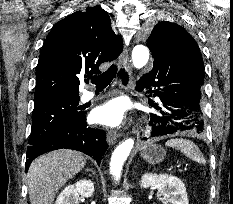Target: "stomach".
Instances as JSON below:
<instances>
[{"instance_id":"obj_1","label":"stomach","mask_w":233,"mask_h":204,"mask_svg":"<svg viewBox=\"0 0 233 204\" xmlns=\"http://www.w3.org/2000/svg\"><path fill=\"white\" fill-rule=\"evenodd\" d=\"M140 155L149 164L154 165L165 159L166 151L159 145L149 144L142 149Z\"/></svg>"}]
</instances>
